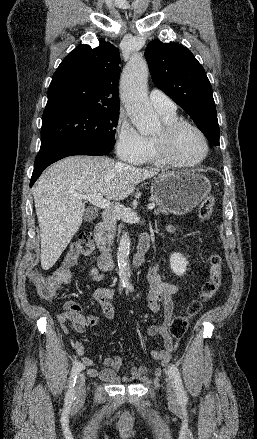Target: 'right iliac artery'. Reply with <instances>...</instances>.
I'll return each instance as SVG.
<instances>
[{
    "label": "right iliac artery",
    "instance_id": "obj_1",
    "mask_svg": "<svg viewBox=\"0 0 257 439\" xmlns=\"http://www.w3.org/2000/svg\"><path fill=\"white\" fill-rule=\"evenodd\" d=\"M83 369V364L78 361L76 362L71 370V376H70V380H69V389L66 393V401H73V399H75L74 397V386H75V382L77 379L78 374L82 371Z\"/></svg>",
    "mask_w": 257,
    "mask_h": 439
}]
</instances>
